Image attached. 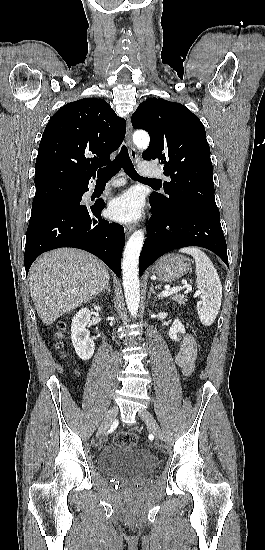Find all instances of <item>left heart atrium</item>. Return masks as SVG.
<instances>
[{
  "label": "left heart atrium",
  "mask_w": 265,
  "mask_h": 550,
  "mask_svg": "<svg viewBox=\"0 0 265 550\" xmlns=\"http://www.w3.org/2000/svg\"><path fill=\"white\" fill-rule=\"evenodd\" d=\"M107 213L115 221L134 222L140 218L142 213L141 198L135 192H125L109 203Z\"/></svg>",
  "instance_id": "left-heart-atrium-1"
}]
</instances>
